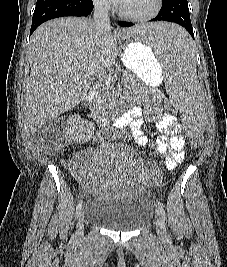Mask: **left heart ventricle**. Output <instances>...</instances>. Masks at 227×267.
<instances>
[{
	"label": "left heart ventricle",
	"instance_id": "obj_1",
	"mask_svg": "<svg viewBox=\"0 0 227 267\" xmlns=\"http://www.w3.org/2000/svg\"><path fill=\"white\" fill-rule=\"evenodd\" d=\"M121 7L128 13L143 15L154 7V0H125Z\"/></svg>",
	"mask_w": 227,
	"mask_h": 267
}]
</instances>
